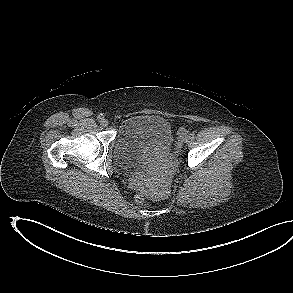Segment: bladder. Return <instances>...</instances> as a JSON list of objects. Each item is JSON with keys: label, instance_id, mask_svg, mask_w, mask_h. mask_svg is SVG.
Wrapping results in <instances>:
<instances>
[{"label": "bladder", "instance_id": "obj_1", "mask_svg": "<svg viewBox=\"0 0 293 293\" xmlns=\"http://www.w3.org/2000/svg\"><path fill=\"white\" fill-rule=\"evenodd\" d=\"M174 134L162 116L138 114L124 119L117 131L113 156L125 168L153 167L171 153Z\"/></svg>", "mask_w": 293, "mask_h": 293}]
</instances>
